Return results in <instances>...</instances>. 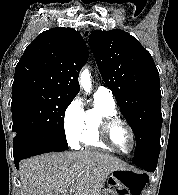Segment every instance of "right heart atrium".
<instances>
[{"mask_svg": "<svg viewBox=\"0 0 178 195\" xmlns=\"http://www.w3.org/2000/svg\"><path fill=\"white\" fill-rule=\"evenodd\" d=\"M84 110L80 97H75L66 106L63 114V126L68 143L77 147L84 130Z\"/></svg>", "mask_w": 178, "mask_h": 195, "instance_id": "d8ad5b80", "label": "right heart atrium"}]
</instances>
